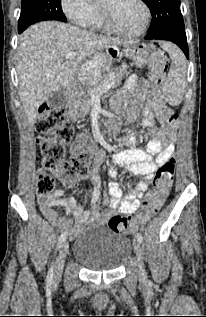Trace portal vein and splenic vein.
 I'll list each match as a JSON object with an SVG mask.
<instances>
[{
	"label": "portal vein and splenic vein",
	"mask_w": 206,
	"mask_h": 317,
	"mask_svg": "<svg viewBox=\"0 0 206 317\" xmlns=\"http://www.w3.org/2000/svg\"><path fill=\"white\" fill-rule=\"evenodd\" d=\"M76 56L75 52H68L65 55V60H71ZM113 84V74H111V76L109 77V79L107 80L106 83H104L102 86L95 88L91 91V95L92 96H99L105 92H107L108 90H110V88L112 87Z\"/></svg>",
	"instance_id": "18ae733b"
}]
</instances>
